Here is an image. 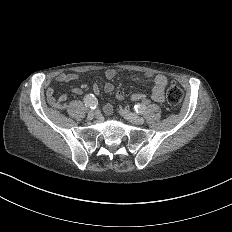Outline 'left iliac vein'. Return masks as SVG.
Returning <instances> with one entry per match:
<instances>
[{"label":"left iliac vein","mask_w":232,"mask_h":232,"mask_svg":"<svg viewBox=\"0 0 232 232\" xmlns=\"http://www.w3.org/2000/svg\"><path fill=\"white\" fill-rule=\"evenodd\" d=\"M118 113L123 116L124 120H128L129 122H132L133 124H143L144 118L139 117L137 113H134L133 111H128L127 109H119Z\"/></svg>","instance_id":"left-iliac-vein-1"}]
</instances>
